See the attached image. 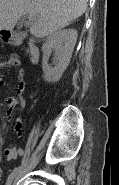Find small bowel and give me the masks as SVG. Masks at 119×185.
Returning <instances> with one entry per match:
<instances>
[{
    "instance_id": "c3829d8e",
    "label": "small bowel",
    "mask_w": 119,
    "mask_h": 185,
    "mask_svg": "<svg viewBox=\"0 0 119 185\" xmlns=\"http://www.w3.org/2000/svg\"><path fill=\"white\" fill-rule=\"evenodd\" d=\"M1 68L7 69L11 67H19L20 66V61L17 57L13 56L8 60L2 61L0 63ZM16 80L18 82L17 86V93L18 97H8L5 100V107H6V118L7 120H11L14 114V111L18 105L21 106V108L25 107V101L21 97L22 92L25 89V81H24V69L18 68L17 73H16ZM6 81L3 76L0 77V85L3 86L5 85ZM14 133L17 138H20L22 135V119L20 117H17L15 119V125H14ZM5 155L8 160H14L17 157L23 156L24 155V150L22 148H17L14 145H10L6 150H5Z\"/></svg>"
}]
</instances>
